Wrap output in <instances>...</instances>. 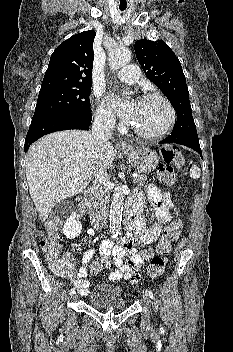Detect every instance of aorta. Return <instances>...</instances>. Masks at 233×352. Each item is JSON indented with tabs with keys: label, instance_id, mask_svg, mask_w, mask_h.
<instances>
[{
	"label": "aorta",
	"instance_id": "1",
	"mask_svg": "<svg viewBox=\"0 0 233 352\" xmlns=\"http://www.w3.org/2000/svg\"><path fill=\"white\" fill-rule=\"evenodd\" d=\"M131 59V52L125 47H117L109 52V66L115 71L125 66ZM124 205L123 187L117 185L110 207V234L113 238L117 237L121 227L122 211Z\"/></svg>",
	"mask_w": 233,
	"mask_h": 352
}]
</instances>
